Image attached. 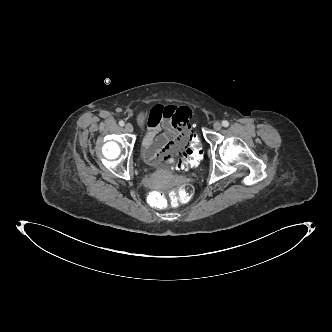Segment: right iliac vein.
Returning a JSON list of instances; mask_svg holds the SVG:
<instances>
[{
    "mask_svg": "<svg viewBox=\"0 0 332 332\" xmlns=\"http://www.w3.org/2000/svg\"><path fill=\"white\" fill-rule=\"evenodd\" d=\"M125 130H126L127 132H129V133H132V132H133V126H132V124L127 123V124L125 125Z\"/></svg>",
    "mask_w": 332,
    "mask_h": 332,
    "instance_id": "63e3f726",
    "label": "right iliac vein"
}]
</instances>
